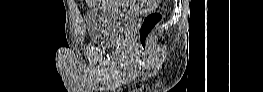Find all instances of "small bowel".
<instances>
[{
  "label": "small bowel",
  "mask_w": 263,
  "mask_h": 92,
  "mask_svg": "<svg viewBox=\"0 0 263 92\" xmlns=\"http://www.w3.org/2000/svg\"><path fill=\"white\" fill-rule=\"evenodd\" d=\"M158 1H153L152 3H157ZM128 4H132L135 5L136 3H128Z\"/></svg>",
  "instance_id": "c3829d8e"
}]
</instances>
